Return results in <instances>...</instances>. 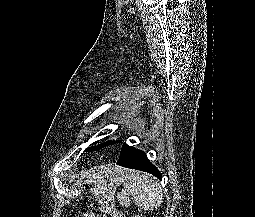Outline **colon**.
Segmentation results:
<instances>
[{"label":"colon","mask_w":255,"mask_h":217,"mask_svg":"<svg viewBox=\"0 0 255 217\" xmlns=\"http://www.w3.org/2000/svg\"><path fill=\"white\" fill-rule=\"evenodd\" d=\"M92 193H93L99 207L102 209V207L104 206V202H103L101 196L99 195L98 191L96 189H93ZM134 217H143V216L135 215Z\"/></svg>","instance_id":"1"}]
</instances>
